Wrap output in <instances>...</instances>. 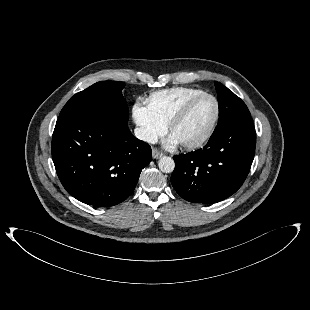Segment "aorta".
Instances as JSON below:
<instances>
[{
	"mask_svg": "<svg viewBox=\"0 0 310 310\" xmlns=\"http://www.w3.org/2000/svg\"><path fill=\"white\" fill-rule=\"evenodd\" d=\"M158 167L164 173H172L175 168V162L171 157L163 156L158 161Z\"/></svg>",
	"mask_w": 310,
	"mask_h": 310,
	"instance_id": "aorta-1",
	"label": "aorta"
}]
</instances>
